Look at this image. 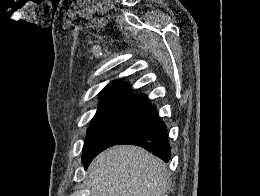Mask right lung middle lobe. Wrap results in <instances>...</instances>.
Masks as SVG:
<instances>
[{
    "mask_svg": "<svg viewBox=\"0 0 260 196\" xmlns=\"http://www.w3.org/2000/svg\"><path fill=\"white\" fill-rule=\"evenodd\" d=\"M157 119L146 108L134 105L100 106L90 127L83 150H104L117 145Z\"/></svg>",
    "mask_w": 260,
    "mask_h": 196,
    "instance_id": "dd1d6c3e",
    "label": "right lung middle lobe"
}]
</instances>
